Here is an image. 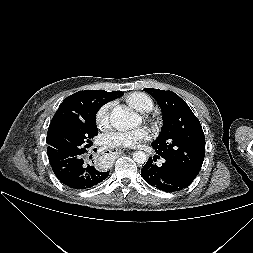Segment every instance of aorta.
Here are the masks:
<instances>
[{
	"instance_id": "762f6f07",
	"label": "aorta",
	"mask_w": 253,
	"mask_h": 253,
	"mask_svg": "<svg viewBox=\"0 0 253 253\" xmlns=\"http://www.w3.org/2000/svg\"><path fill=\"white\" fill-rule=\"evenodd\" d=\"M110 122L119 130L132 129L139 124V117L129 108L119 106L111 112ZM133 159L137 164H144L147 161V155L143 151H135Z\"/></svg>"
}]
</instances>
